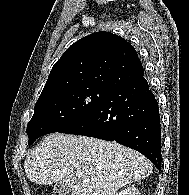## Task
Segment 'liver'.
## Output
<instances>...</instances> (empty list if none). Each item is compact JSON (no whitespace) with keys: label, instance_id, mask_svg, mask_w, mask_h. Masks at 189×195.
I'll use <instances>...</instances> for the list:
<instances>
[{"label":"liver","instance_id":"6515ba94","mask_svg":"<svg viewBox=\"0 0 189 195\" xmlns=\"http://www.w3.org/2000/svg\"><path fill=\"white\" fill-rule=\"evenodd\" d=\"M24 169L31 182L67 183L71 195H114L149 176L153 164L116 142L53 133L26 156Z\"/></svg>","mask_w":189,"mask_h":195}]
</instances>
